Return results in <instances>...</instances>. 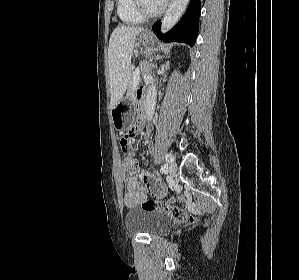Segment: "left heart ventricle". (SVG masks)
<instances>
[{"label": "left heart ventricle", "instance_id": "1", "mask_svg": "<svg viewBox=\"0 0 299 280\" xmlns=\"http://www.w3.org/2000/svg\"><path fill=\"white\" fill-rule=\"evenodd\" d=\"M160 0H143V5L148 11H155L161 6Z\"/></svg>", "mask_w": 299, "mask_h": 280}]
</instances>
